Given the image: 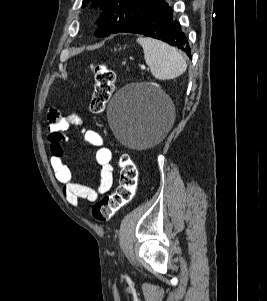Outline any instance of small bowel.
Returning a JSON list of instances; mask_svg holds the SVG:
<instances>
[{
    "label": "small bowel",
    "instance_id": "1",
    "mask_svg": "<svg viewBox=\"0 0 267 301\" xmlns=\"http://www.w3.org/2000/svg\"><path fill=\"white\" fill-rule=\"evenodd\" d=\"M48 140L50 143V164L56 179L63 185L64 196L67 201L77 206L80 199L94 202L98 197L107 193L113 185L114 168L112 152L104 145L100 133L87 129L83 119L73 113L62 116L56 109L48 113ZM79 128L86 143L96 147L95 159L100 168L99 184L95 187L74 180L72 172L64 160L63 142L68 139L67 131Z\"/></svg>",
    "mask_w": 267,
    "mask_h": 301
}]
</instances>
